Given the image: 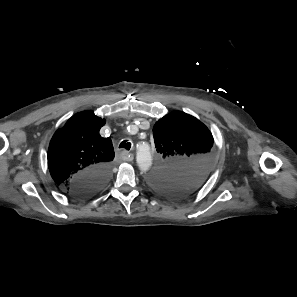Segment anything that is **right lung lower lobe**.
Instances as JSON below:
<instances>
[{"label":"right lung lower lobe","instance_id":"right-lung-lower-lobe-1","mask_svg":"<svg viewBox=\"0 0 297 297\" xmlns=\"http://www.w3.org/2000/svg\"><path fill=\"white\" fill-rule=\"evenodd\" d=\"M110 166L98 165L77 174L71 181L67 191L79 198L92 196L100 191L108 182Z\"/></svg>","mask_w":297,"mask_h":297}]
</instances>
